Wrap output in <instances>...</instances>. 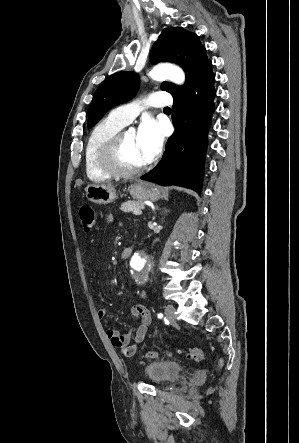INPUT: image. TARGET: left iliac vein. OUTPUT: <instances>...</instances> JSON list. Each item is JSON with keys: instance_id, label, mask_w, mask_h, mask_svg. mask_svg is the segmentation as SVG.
Here are the masks:
<instances>
[{"instance_id": "4c4485c4", "label": "left iliac vein", "mask_w": 299, "mask_h": 443, "mask_svg": "<svg viewBox=\"0 0 299 443\" xmlns=\"http://www.w3.org/2000/svg\"><path fill=\"white\" fill-rule=\"evenodd\" d=\"M165 314L170 323H176L175 308L172 305L165 307Z\"/></svg>"}]
</instances>
